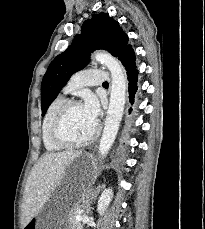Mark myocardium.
Returning a JSON list of instances; mask_svg holds the SVG:
<instances>
[{
    "mask_svg": "<svg viewBox=\"0 0 205 229\" xmlns=\"http://www.w3.org/2000/svg\"><path fill=\"white\" fill-rule=\"evenodd\" d=\"M81 105V103L77 100H68L65 101L61 107L58 109L52 123L51 127V137L53 141L60 145L61 147L65 148H76V147H82L85 146L89 143H91L99 134L100 131V125L99 123L96 122L95 128L93 132L85 139L80 140V141H72L68 140L63 137L62 135V126L64 119L68 113V111L75 106Z\"/></svg>",
    "mask_w": 205,
    "mask_h": 229,
    "instance_id": "myocardium-1",
    "label": "myocardium"
}]
</instances>
